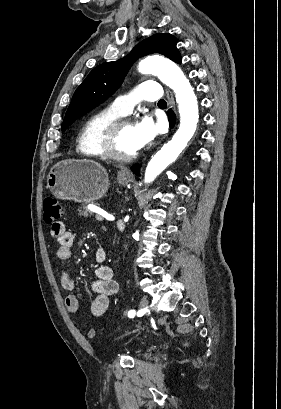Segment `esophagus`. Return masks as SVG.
Listing matches in <instances>:
<instances>
[{
    "label": "esophagus",
    "instance_id": "esophagus-1",
    "mask_svg": "<svg viewBox=\"0 0 281 409\" xmlns=\"http://www.w3.org/2000/svg\"><path fill=\"white\" fill-rule=\"evenodd\" d=\"M166 94L170 108L175 111V101L172 92L169 89H166Z\"/></svg>",
    "mask_w": 281,
    "mask_h": 409
}]
</instances>
